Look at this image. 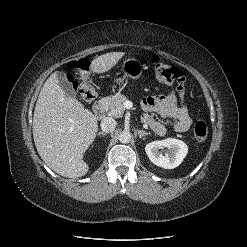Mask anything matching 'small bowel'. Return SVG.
<instances>
[{
    "label": "small bowel",
    "instance_id": "small-bowel-1",
    "mask_svg": "<svg viewBox=\"0 0 247 247\" xmlns=\"http://www.w3.org/2000/svg\"><path fill=\"white\" fill-rule=\"evenodd\" d=\"M178 101L180 104H178ZM142 108L146 113L155 112L163 118L173 120V127L176 132H186L191 126L192 120L185 103V91L181 84L177 86L175 91L167 95L144 98L142 100ZM142 122L158 135H164L166 133L165 126L149 114L143 115Z\"/></svg>",
    "mask_w": 247,
    "mask_h": 247
}]
</instances>
